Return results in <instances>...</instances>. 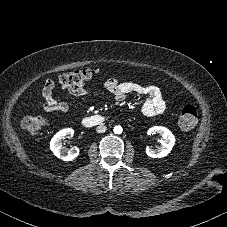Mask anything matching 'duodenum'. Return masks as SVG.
<instances>
[{
  "label": "duodenum",
  "mask_w": 227,
  "mask_h": 227,
  "mask_svg": "<svg viewBox=\"0 0 227 227\" xmlns=\"http://www.w3.org/2000/svg\"><path fill=\"white\" fill-rule=\"evenodd\" d=\"M106 121V117L102 115H92L82 119V125L88 128L100 125Z\"/></svg>",
  "instance_id": "duodenum-1"
}]
</instances>
